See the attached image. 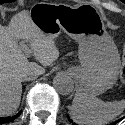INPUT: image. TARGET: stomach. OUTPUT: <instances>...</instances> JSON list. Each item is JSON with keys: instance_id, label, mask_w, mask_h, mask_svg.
Listing matches in <instances>:
<instances>
[{"instance_id": "stomach-1", "label": "stomach", "mask_w": 125, "mask_h": 125, "mask_svg": "<svg viewBox=\"0 0 125 125\" xmlns=\"http://www.w3.org/2000/svg\"><path fill=\"white\" fill-rule=\"evenodd\" d=\"M29 16L46 38L55 39L63 31L79 43L81 65L69 69L78 92L96 97L113 87L120 55L96 12L87 13L81 5L37 3Z\"/></svg>"}]
</instances>
